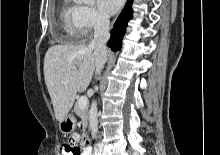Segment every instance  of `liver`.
<instances>
[{
  "label": "liver",
  "mask_w": 220,
  "mask_h": 155,
  "mask_svg": "<svg viewBox=\"0 0 220 155\" xmlns=\"http://www.w3.org/2000/svg\"><path fill=\"white\" fill-rule=\"evenodd\" d=\"M95 69L89 45H54L44 58V78L56 119L61 122L73 106L77 92L87 89Z\"/></svg>",
  "instance_id": "6515ba94"
}]
</instances>
